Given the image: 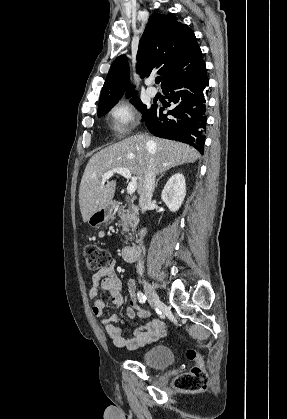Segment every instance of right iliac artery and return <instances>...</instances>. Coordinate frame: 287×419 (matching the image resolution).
Returning <instances> with one entry per match:
<instances>
[{
	"instance_id": "1",
	"label": "right iliac artery",
	"mask_w": 287,
	"mask_h": 419,
	"mask_svg": "<svg viewBox=\"0 0 287 419\" xmlns=\"http://www.w3.org/2000/svg\"><path fill=\"white\" fill-rule=\"evenodd\" d=\"M137 297L140 303L144 304L146 302V296L142 292H138Z\"/></svg>"
}]
</instances>
